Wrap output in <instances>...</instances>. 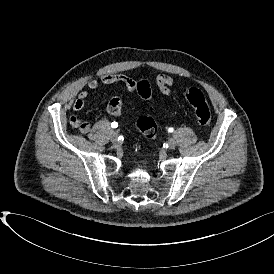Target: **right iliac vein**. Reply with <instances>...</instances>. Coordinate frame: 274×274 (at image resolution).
Returning <instances> with one entry per match:
<instances>
[{
	"label": "right iliac vein",
	"instance_id": "right-iliac-vein-1",
	"mask_svg": "<svg viewBox=\"0 0 274 274\" xmlns=\"http://www.w3.org/2000/svg\"><path fill=\"white\" fill-rule=\"evenodd\" d=\"M110 140L112 142H116L117 141V133L116 132H112L110 135Z\"/></svg>",
	"mask_w": 274,
	"mask_h": 274
}]
</instances>
